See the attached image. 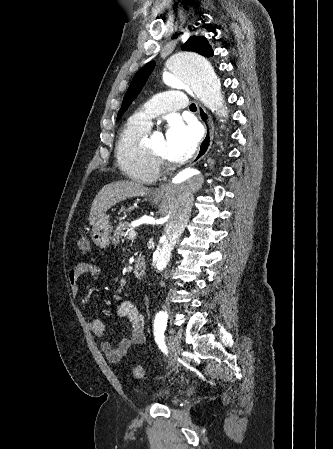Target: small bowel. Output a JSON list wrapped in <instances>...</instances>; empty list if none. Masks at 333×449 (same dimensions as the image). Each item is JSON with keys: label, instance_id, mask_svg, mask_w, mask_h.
Here are the masks:
<instances>
[{"label": "small bowel", "instance_id": "obj_1", "mask_svg": "<svg viewBox=\"0 0 333 449\" xmlns=\"http://www.w3.org/2000/svg\"><path fill=\"white\" fill-rule=\"evenodd\" d=\"M86 273L92 276H99L101 269L89 262H79L73 267L68 273V282L73 294L78 292L79 279ZM117 314L128 322L130 332L119 340L117 347H113L107 340L101 342L100 347L102 352L112 363L119 362L132 347L139 346L145 341L144 316L131 301L125 300L119 302L117 305ZM89 328L97 337H103L106 333V326L99 319H92L89 322Z\"/></svg>", "mask_w": 333, "mask_h": 449}]
</instances>
